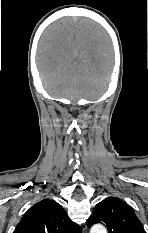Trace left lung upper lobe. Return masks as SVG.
Listing matches in <instances>:
<instances>
[{
    "mask_svg": "<svg viewBox=\"0 0 148 233\" xmlns=\"http://www.w3.org/2000/svg\"><path fill=\"white\" fill-rule=\"evenodd\" d=\"M95 223L105 224L108 233H145L134 210L117 197H108L97 204L86 221L89 228Z\"/></svg>",
    "mask_w": 148,
    "mask_h": 233,
    "instance_id": "5c2ea615",
    "label": "left lung upper lobe"
}]
</instances>
